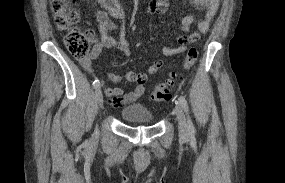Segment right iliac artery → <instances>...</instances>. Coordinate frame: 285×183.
Here are the masks:
<instances>
[{
	"label": "right iliac artery",
	"instance_id": "1",
	"mask_svg": "<svg viewBox=\"0 0 285 183\" xmlns=\"http://www.w3.org/2000/svg\"><path fill=\"white\" fill-rule=\"evenodd\" d=\"M93 86H94V88L98 87V86H99V81H98V80H95V81L93 82Z\"/></svg>",
	"mask_w": 285,
	"mask_h": 183
}]
</instances>
